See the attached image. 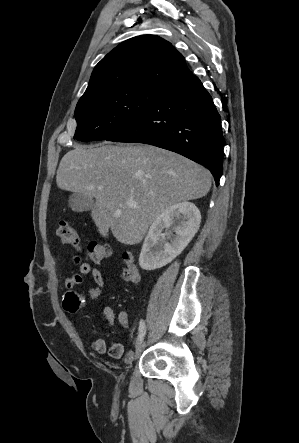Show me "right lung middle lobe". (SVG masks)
Segmentation results:
<instances>
[{"mask_svg": "<svg viewBox=\"0 0 299 443\" xmlns=\"http://www.w3.org/2000/svg\"><path fill=\"white\" fill-rule=\"evenodd\" d=\"M163 93L153 88H120L80 99L75 109L74 139L110 138L142 116Z\"/></svg>", "mask_w": 299, "mask_h": 443, "instance_id": "1", "label": "right lung middle lobe"}]
</instances>
